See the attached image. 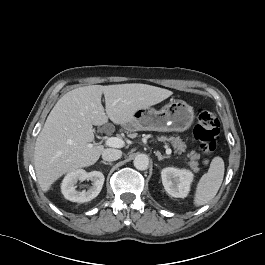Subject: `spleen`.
Masks as SVG:
<instances>
[{
  "label": "spleen",
  "instance_id": "spleen-1",
  "mask_svg": "<svg viewBox=\"0 0 265 265\" xmlns=\"http://www.w3.org/2000/svg\"><path fill=\"white\" fill-rule=\"evenodd\" d=\"M224 161L221 157H214L211 161L208 172L199 180L195 195L194 205L203 206L210 202L217 194L224 177Z\"/></svg>",
  "mask_w": 265,
  "mask_h": 265
}]
</instances>
